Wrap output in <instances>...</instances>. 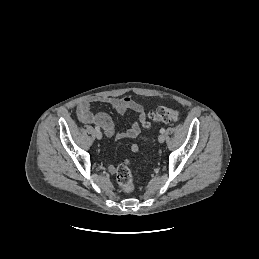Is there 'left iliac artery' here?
Listing matches in <instances>:
<instances>
[{
  "label": "left iliac artery",
  "instance_id": "1",
  "mask_svg": "<svg viewBox=\"0 0 259 259\" xmlns=\"http://www.w3.org/2000/svg\"><path fill=\"white\" fill-rule=\"evenodd\" d=\"M164 132H165V129H164V128H161V129H160V133L163 134Z\"/></svg>",
  "mask_w": 259,
  "mask_h": 259
}]
</instances>
